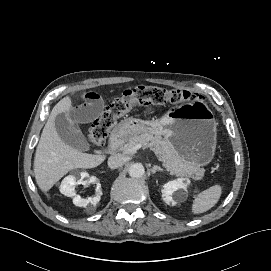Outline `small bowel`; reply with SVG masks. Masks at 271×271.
Here are the masks:
<instances>
[{
	"instance_id": "1",
	"label": "small bowel",
	"mask_w": 271,
	"mask_h": 271,
	"mask_svg": "<svg viewBox=\"0 0 271 271\" xmlns=\"http://www.w3.org/2000/svg\"><path fill=\"white\" fill-rule=\"evenodd\" d=\"M59 108L60 113L51 122V127L73 147L83 148L84 138L79 126L91 122L100 115L103 109L101 96L95 92H87L82 104L72 105L65 110L62 104ZM133 108L138 109L144 117L149 118L153 115L151 104L135 102Z\"/></svg>"
}]
</instances>
